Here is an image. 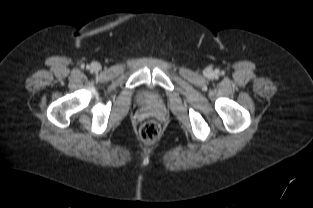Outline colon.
<instances>
[{
	"instance_id": "5ec220e1",
	"label": "colon",
	"mask_w": 313,
	"mask_h": 208,
	"mask_svg": "<svg viewBox=\"0 0 313 208\" xmlns=\"http://www.w3.org/2000/svg\"><path fill=\"white\" fill-rule=\"evenodd\" d=\"M160 125L154 120L145 121L139 130L141 139L146 143L154 142L160 135Z\"/></svg>"
}]
</instances>
